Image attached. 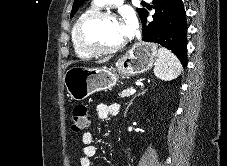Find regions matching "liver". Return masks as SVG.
Returning <instances> with one entry per match:
<instances>
[{
	"mask_svg": "<svg viewBox=\"0 0 227 166\" xmlns=\"http://www.w3.org/2000/svg\"><path fill=\"white\" fill-rule=\"evenodd\" d=\"M108 60H109L108 58H106V59H102V60L98 61V63H99V64H101V63H105V62H107Z\"/></svg>",
	"mask_w": 227,
	"mask_h": 166,
	"instance_id": "liver-1",
	"label": "liver"
}]
</instances>
